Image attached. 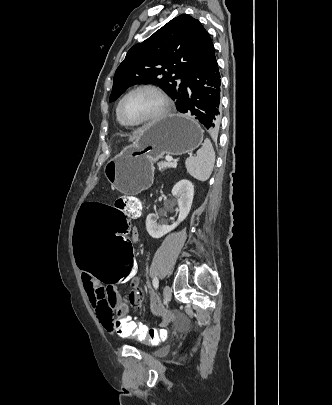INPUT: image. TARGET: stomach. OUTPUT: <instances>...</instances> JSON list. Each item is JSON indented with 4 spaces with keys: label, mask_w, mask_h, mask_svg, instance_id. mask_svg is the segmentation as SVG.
<instances>
[{
    "label": "stomach",
    "mask_w": 332,
    "mask_h": 405,
    "mask_svg": "<svg viewBox=\"0 0 332 405\" xmlns=\"http://www.w3.org/2000/svg\"><path fill=\"white\" fill-rule=\"evenodd\" d=\"M132 146L125 148L104 168L111 186L135 195L153 180V163L166 155H182L198 148L204 131L190 116L169 114L145 126Z\"/></svg>",
    "instance_id": "stomach-1"
}]
</instances>
